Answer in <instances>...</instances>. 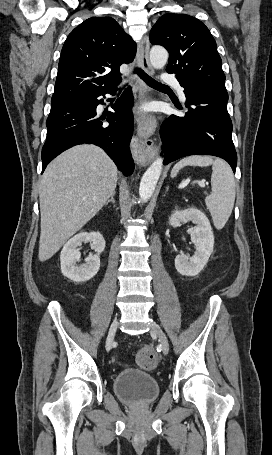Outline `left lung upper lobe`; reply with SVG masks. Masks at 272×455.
<instances>
[{"mask_svg": "<svg viewBox=\"0 0 272 455\" xmlns=\"http://www.w3.org/2000/svg\"><path fill=\"white\" fill-rule=\"evenodd\" d=\"M150 41L167 49L166 71L175 74L181 86L225 88L216 42L200 20L185 14H165L152 27Z\"/></svg>", "mask_w": 272, "mask_h": 455, "instance_id": "1", "label": "left lung upper lobe"}]
</instances>
